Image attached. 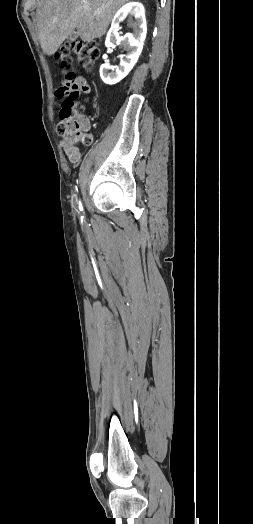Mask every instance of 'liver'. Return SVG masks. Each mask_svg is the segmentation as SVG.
<instances>
[{"label":"liver","instance_id":"obj_1","mask_svg":"<svg viewBox=\"0 0 253 524\" xmlns=\"http://www.w3.org/2000/svg\"><path fill=\"white\" fill-rule=\"evenodd\" d=\"M127 2L129 0H38L35 21L43 52L53 55L75 29L85 42L102 37L117 10ZM86 5L89 10L85 9Z\"/></svg>","mask_w":253,"mask_h":524}]
</instances>
